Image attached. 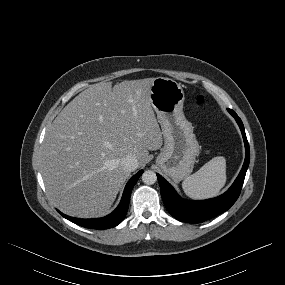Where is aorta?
Here are the masks:
<instances>
[{"instance_id": "obj_1", "label": "aorta", "mask_w": 285, "mask_h": 285, "mask_svg": "<svg viewBox=\"0 0 285 285\" xmlns=\"http://www.w3.org/2000/svg\"><path fill=\"white\" fill-rule=\"evenodd\" d=\"M142 181L146 185H152L157 181L156 173L152 170H147L142 174Z\"/></svg>"}]
</instances>
